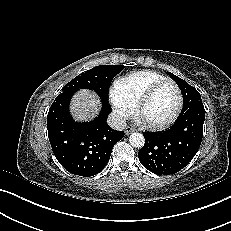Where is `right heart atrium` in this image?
Wrapping results in <instances>:
<instances>
[{"label": "right heart atrium", "instance_id": "obj_1", "mask_svg": "<svg viewBox=\"0 0 231 231\" xmlns=\"http://www.w3.org/2000/svg\"><path fill=\"white\" fill-rule=\"evenodd\" d=\"M111 100L114 107V113L119 121H124L129 117L130 108L125 105L116 95L115 90L111 94Z\"/></svg>", "mask_w": 231, "mask_h": 231}]
</instances>
